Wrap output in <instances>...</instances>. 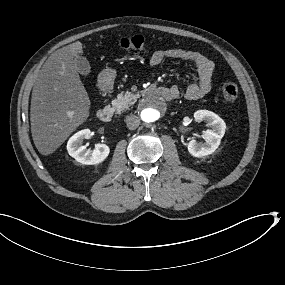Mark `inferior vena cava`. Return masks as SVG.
<instances>
[{
	"mask_svg": "<svg viewBox=\"0 0 285 285\" xmlns=\"http://www.w3.org/2000/svg\"><path fill=\"white\" fill-rule=\"evenodd\" d=\"M126 124L130 130H135L140 124V119L136 115L127 116Z\"/></svg>",
	"mask_w": 285,
	"mask_h": 285,
	"instance_id": "obj_1",
	"label": "inferior vena cava"
}]
</instances>
